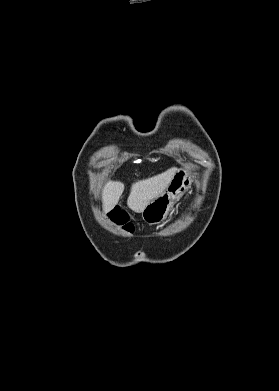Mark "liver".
<instances>
[{
    "label": "liver",
    "instance_id": "1",
    "mask_svg": "<svg viewBox=\"0 0 279 391\" xmlns=\"http://www.w3.org/2000/svg\"><path fill=\"white\" fill-rule=\"evenodd\" d=\"M176 171L177 168L174 167L154 177L132 184L127 200L128 207L136 213H142L153 199L165 191L175 176ZM123 191L124 185L121 182L109 181L105 185L102 194L105 212L112 210L117 205Z\"/></svg>",
    "mask_w": 279,
    "mask_h": 391
}]
</instances>
